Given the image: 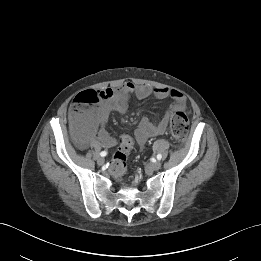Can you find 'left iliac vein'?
<instances>
[{
	"label": "left iliac vein",
	"instance_id": "left-iliac-vein-1",
	"mask_svg": "<svg viewBox=\"0 0 261 261\" xmlns=\"http://www.w3.org/2000/svg\"><path fill=\"white\" fill-rule=\"evenodd\" d=\"M161 162L160 161H156V162H153L151 164L148 165V169L151 170V171H156V170H159L161 168Z\"/></svg>",
	"mask_w": 261,
	"mask_h": 261
}]
</instances>
